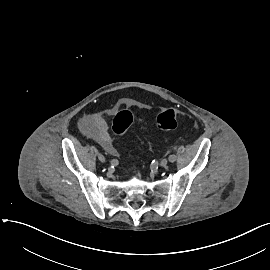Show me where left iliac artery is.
Wrapping results in <instances>:
<instances>
[{"mask_svg": "<svg viewBox=\"0 0 270 270\" xmlns=\"http://www.w3.org/2000/svg\"><path fill=\"white\" fill-rule=\"evenodd\" d=\"M176 158H177L176 155L172 154V155L169 156V161L170 162H175Z\"/></svg>", "mask_w": 270, "mask_h": 270, "instance_id": "44dca946", "label": "left iliac artery"}]
</instances>
